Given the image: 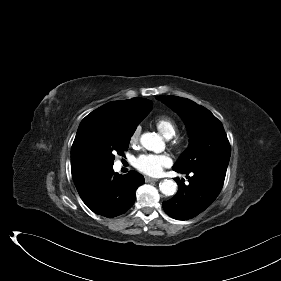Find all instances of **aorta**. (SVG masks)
<instances>
[{
    "label": "aorta",
    "instance_id": "762f6f07",
    "mask_svg": "<svg viewBox=\"0 0 281 281\" xmlns=\"http://www.w3.org/2000/svg\"><path fill=\"white\" fill-rule=\"evenodd\" d=\"M141 145L150 151H159L163 145V141L160 135L156 133H144L140 138ZM160 191L166 195H174L177 191V184L173 180L165 179L159 184Z\"/></svg>",
    "mask_w": 281,
    "mask_h": 281
}]
</instances>
